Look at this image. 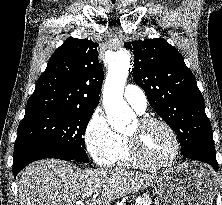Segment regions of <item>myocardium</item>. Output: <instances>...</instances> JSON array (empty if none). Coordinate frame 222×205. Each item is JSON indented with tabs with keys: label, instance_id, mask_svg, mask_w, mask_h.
<instances>
[{
	"label": "myocardium",
	"instance_id": "f54148a6",
	"mask_svg": "<svg viewBox=\"0 0 222 205\" xmlns=\"http://www.w3.org/2000/svg\"><path fill=\"white\" fill-rule=\"evenodd\" d=\"M139 126L141 128L147 127L149 125L157 124L162 126L171 136L174 144V150L172 155L161 162L153 161L149 158H147L140 146V139L138 135H132V134H126L128 143H129V150L132 158L138 163L146 167L154 168V169H163V168H168L171 167L179 158L180 155V141L179 138L173 129V127L166 122L163 119L156 118V117H141L137 120Z\"/></svg>",
	"mask_w": 222,
	"mask_h": 205
}]
</instances>
